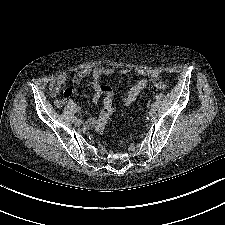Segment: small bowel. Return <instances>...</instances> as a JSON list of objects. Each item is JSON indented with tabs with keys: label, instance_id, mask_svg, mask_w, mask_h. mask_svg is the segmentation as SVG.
I'll return each mask as SVG.
<instances>
[{
	"label": "small bowel",
	"instance_id": "obj_1",
	"mask_svg": "<svg viewBox=\"0 0 225 225\" xmlns=\"http://www.w3.org/2000/svg\"><path fill=\"white\" fill-rule=\"evenodd\" d=\"M131 72L129 69H123L120 71L121 74L127 75ZM136 75L141 76V78L128 90L123 104L124 106H130L140 95V93L147 87V85L151 81L158 80L161 78V73L158 70L152 69H135L133 71ZM115 73V70L111 67H96L93 70H83L79 72L77 75L73 76L71 81L73 84H78L81 81L87 79L90 75L92 76V81L90 83L92 91H93V101L98 102L102 97L105 99L112 100L113 91L112 89L105 84L100 83V79L103 76L112 75ZM67 75L65 73H61L54 77L49 86V92L52 98L56 99V105L60 107L62 105V101L57 99L62 85L66 82ZM73 96V91L71 89H66L63 92V97L65 99L71 98ZM95 122L94 118L89 119L86 122L87 127H92Z\"/></svg>",
	"mask_w": 225,
	"mask_h": 225
}]
</instances>
